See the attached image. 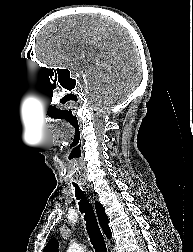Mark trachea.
<instances>
[{
	"label": "trachea",
	"mask_w": 193,
	"mask_h": 252,
	"mask_svg": "<svg viewBox=\"0 0 193 252\" xmlns=\"http://www.w3.org/2000/svg\"><path fill=\"white\" fill-rule=\"evenodd\" d=\"M73 185L75 187V196L77 197V199H80L79 208L81 213H84L87 233L89 235L90 242L95 249V252H107L106 243L99 228L93 207L85 197L84 192L80 190L79 186L77 184Z\"/></svg>",
	"instance_id": "trachea-1"
}]
</instances>
